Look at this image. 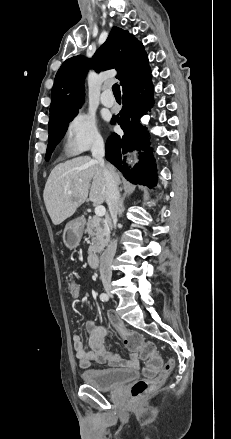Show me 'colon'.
Returning a JSON list of instances; mask_svg holds the SVG:
<instances>
[{
    "instance_id": "5ec220e1",
    "label": "colon",
    "mask_w": 231,
    "mask_h": 439,
    "mask_svg": "<svg viewBox=\"0 0 231 439\" xmlns=\"http://www.w3.org/2000/svg\"><path fill=\"white\" fill-rule=\"evenodd\" d=\"M67 290L71 296L75 297L79 293L78 283L73 279H69L67 281ZM123 338L127 348L137 352L145 360L144 376L135 381L131 387L132 397L141 398L164 381L165 377L172 371L174 361L169 359L163 363L154 345L144 341L138 333L128 331Z\"/></svg>"
}]
</instances>
